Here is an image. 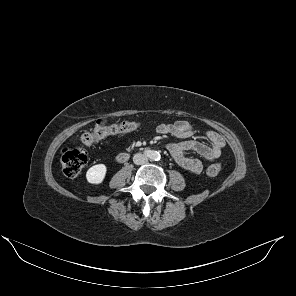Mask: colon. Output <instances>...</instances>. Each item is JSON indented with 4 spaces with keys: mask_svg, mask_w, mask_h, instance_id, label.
Returning <instances> with one entry per match:
<instances>
[{
    "mask_svg": "<svg viewBox=\"0 0 296 296\" xmlns=\"http://www.w3.org/2000/svg\"><path fill=\"white\" fill-rule=\"evenodd\" d=\"M140 126V122L135 120H123L116 123L100 121L97 126L86 131L78 144L65 148L61 154V163L64 174L67 177L77 176L87 163L88 154L85 145H91L109 135H116L132 131ZM222 170L220 163H214L207 169L210 176L218 175Z\"/></svg>",
    "mask_w": 296,
    "mask_h": 296,
    "instance_id": "1",
    "label": "colon"
}]
</instances>
